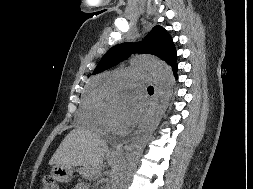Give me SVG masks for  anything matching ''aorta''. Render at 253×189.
I'll return each mask as SVG.
<instances>
[{
	"mask_svg": "<svg viewBox=\"0 0 253 189\" xmlns=\"http://www.w3.org/2000/svg\"><path fill=\"white\" fill-rule=\"evenodd\" d=\"M131 64L137 68H149L157 79L158 90L152 107L126 148L122 163L113 177L111 189H123L125 179L136 168L143 150L165 114L173 94L174 76L172 69L165 62L150 56H137L131 60ZM108 102L117 105L122 102V98L117 93H111L108 96Z\"/></svg>",
	"mask_w": 253,
	"mask_h": 189,
	"instance_id": "aorta-1",
	"label": "aorta"
}]
</instances>
